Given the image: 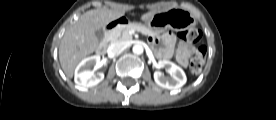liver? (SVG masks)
<instances>
[{
    "label": "liver",
    "mask_w": 276,
    "mask_h": 120,
    "mask_svg": "<svg viewBox=\"0 0 276 120\" xmlns=\"http://www.w3.org/2000/svg\"><path fill=\"white\" fill-rule=\"evenodd\" d=\"M156 10L141 16L145 21ZM123 10L96 9L84 13L64 34L59 46V60L67 77L71 78L76 65L99 46L95 31L124 15Z\"/></svg>",
    "instance_id": "liver-1"
}]
</instances>
